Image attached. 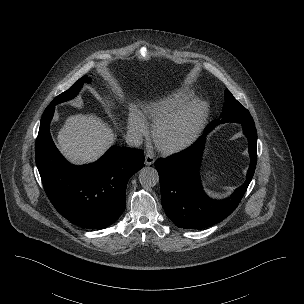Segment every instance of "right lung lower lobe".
Here are the masks:
<instances>
[{
    "label": "right lung lower lobe",
    "mask_w": 304,
    "mask_h": 304,
    "mask_svg": "<svg viewBox=\"0 0 304 304\" xmlns=\"http://www.w3.org/2000/svg\"><path fill=\"white\" fill-rule=\"evenodd\" d=\"M54 108L50 104L42 115L35 149L46 194L70 222L88 229H104L125 210L127 182L143 167V152L112 146L92 164L71 165L59 153L50 135Z\"/></svg>",
    "instance_id": "98d812e1"
}]
</instances>
